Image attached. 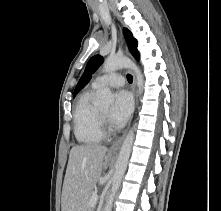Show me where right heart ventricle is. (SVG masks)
Masks as SVG:
<instances>
[{"label":"right heart ventricle","mask_w":221,"mask_h":211,"mask_svg":"<svg viewBox=\"0 0 221 211\" xmlns=\"http://www.w3.org/2000/svg\"><path fill=\"white\" fill-rule=\"evenodd\" d=\"M97 87L91 86L78 97L74 109V134L76 139L85 145L99 143L103 139L99 109L94 104Z\"/></svg>","instance_id":"e07e8e85"}]
</instances>
